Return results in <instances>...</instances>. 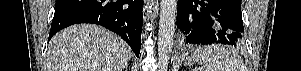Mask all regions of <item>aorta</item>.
<instances>
[{
    "mask_svg": "<svg viewBox=\"0 0 301 71\" xmlns=\"http://www.w3.org/2000/svg\"><path fill=\"white\" fill-rule=\"evenodd\" d=\"M177 0H161L158 33V68L167 71L172 52Z\"/></svg>",
    "mask_w": 301,
    "mask_h": 71,
    "instance_id": "aorta-1",
    "label": "aorta"
}]
</instances>
